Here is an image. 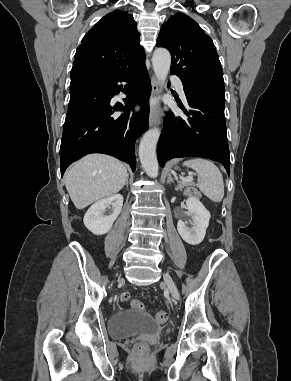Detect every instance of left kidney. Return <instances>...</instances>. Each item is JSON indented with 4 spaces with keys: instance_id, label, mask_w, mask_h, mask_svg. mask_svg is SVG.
Instances as JSON below:
<instances>
[{
    "instance_id": "1",
    "label": "left kidney",
    "mask_w": 291,
    "mask_h": 381,
    "mask_svg": "<svg viewBox=\"0 0 291 381\" xmlns=\"http://www.w3.org/2000/svg\"><path fill=\"white\" fill-rule=\"evenodd\" d=\"M186 206L187 215L192 217L193 226L188 227L186 222L179 220L177 230L186 243L198 245L205 237L211 215L200 200L193 196L186 200Z\"/></svg>"
}]
</instances>
